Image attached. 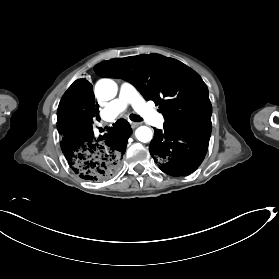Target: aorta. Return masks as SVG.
Returning <instances> with one entry per match:
<instances>
[{
	"label": "aorta",
	"mask_w": 279,
	"mask_h": 279,
	"mask_svg": "<svg viewBox=\"0 0 279 279\" xmlns=\"http://www.w3.org/2000/svg\"><path fill=\"white\" fill-rule=\"evenodd\" d=\"M117 84L109 79L104 78L99 80L95 85V96L103 101L113 99L117 94ZM136 138L143 143H147L152 139V130L147 126H140L135 131Z\"/></svg>",
	"instance_id": "obj_1"
}]
</instances>
